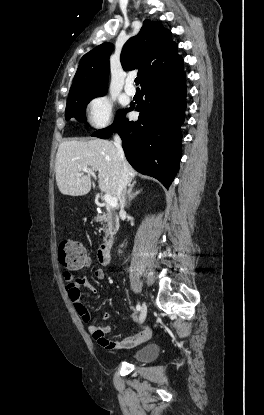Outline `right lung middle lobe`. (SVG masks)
I'll return each mask as SVG.
<instances>
[{
    "instance_id": "dd1d6c3e",
    "label": "right lung middle lobe",
    "mask_w": 264,
    "mask_h": 415,
    "mask_svg": "<svg viewBox=\"0 0 264 415\" xmlns=\"http://www.w3.org/2000/svg\"><path fill=\"white\" fill-rule=\"evenodd\" d=\"M103 94H85V95H78L69 97L66 105L65 111V118L69 120L70 118L74 117L77 120H82L83 122L86 121L85 117V109L88 102L98 96H103ZM119 111L117 115L120 113Z\"/></svg>"
}]
</instances>
